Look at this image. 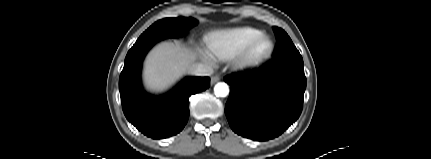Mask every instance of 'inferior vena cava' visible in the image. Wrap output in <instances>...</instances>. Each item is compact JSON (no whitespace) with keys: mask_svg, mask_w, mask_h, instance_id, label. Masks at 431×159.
Instances as JSON below:
<instances>
[{"mask_svg":"<svg viewBox=\"0 0 431 159\" xmlns=\"http://www.w3.org/2000/svg\"><path fill=\"white\" fill-rule=\"evenodd\" d=\"M190 73L195 76H211L213 68L208 64L195 63L191 66Z\"/></svg>","mask_w":431,"mask_h":159,"instance_id":"1","label":"inferior vena cava"}]
</instances>
